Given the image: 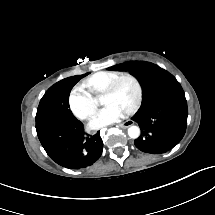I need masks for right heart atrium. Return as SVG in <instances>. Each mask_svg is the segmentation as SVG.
Returning <instances> with one entry per match:
<instances>
[{
  "instance_id": "d8ad5b80",
  "label": "right heart atrium",
  "mask_w": 215,
  "mask_h": 215,
  "mask_svg": "<svg viewBox=\"0 0 215 215\" xmlns=\"http://www.w3.org/2000/svg\"><path fill=\"white\" fill-rule=\"evenodd\" d=\"M69 104L72 111L80 119H88L92 117L96 110V103L89 96L81 94L77 89H73L70 98Z\"/></svg>"
}]
</instances>
